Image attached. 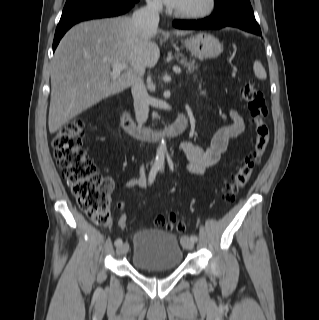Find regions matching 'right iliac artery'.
Masks as SVG:
<instances>
[{
    "label": "right iliac artery",
    "mask_w": 319,
    "mask_h": 320,
    "mask_svg": "<svg viewBox=\"0 0 319 320\" xmlns=\"http://www.w3.org/2000/svg\"><path fill=\"white\" fill-rule=\"evenodd\" d=\"M158 171V168H155L153 167L150 171V174H149V183H152L155 179V176H156V173ZM122 239L121 238H117L114 242L115 246H120L122 244Z\"/></svg>",
    "instance_id": "right-iliac-artery-1"
}]
</instances>
